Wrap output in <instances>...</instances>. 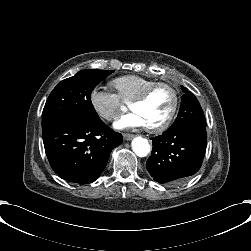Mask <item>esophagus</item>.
<instances>
[{"label":"esophagus","mask_w":251,"mask_h":251,"mask_svg":"<svg viewBox=\"0 0 251 251\" xmlns=\"http://www.w3.org/2000/svg\"><path fill=\"white\" fill-rule=\"evenodd\" d=\"M133 137H134L133 134H128V133H124V134H123V138H124V140H126V141L131 140Z\"/></svg>","instance_id":"34e87169"}]
</instances>
